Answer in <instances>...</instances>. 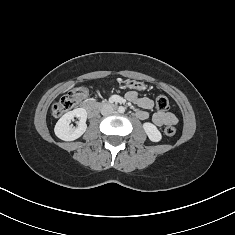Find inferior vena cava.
Returning <instances> with one entry per match:
<instances>
[{
  "label": "inferior vena cava",
  "mask_w": 235,
  "mask_h": 235,
  "mask_svg": "<svg viewBox=\"0 0 235 235\" xmlns=\"http://www.w3.org/2000/svg\"><path fill=\"white\" fill-rule=\"evenodd\" d=\"M113 113V107L110 104H104L101 108V114L104 116L110 115Z\"/></svg>",
  "instance_id": "1"
}]
</instances>
